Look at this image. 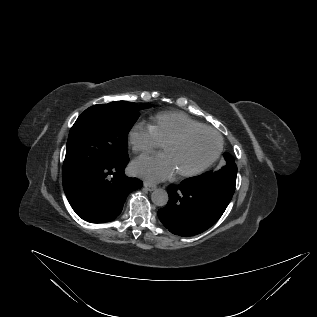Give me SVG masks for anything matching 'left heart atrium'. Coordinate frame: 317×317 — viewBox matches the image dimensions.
Segmentation results:
<instances>
[{
    "label": "left heart atrium",
    "mask_w": 317,
    "mask_h": 317,
    "mask_svg": "<svg viewBox=\"0 0 317 317\" xmlns=\"http://www.w3.org/2000/svg\"><path fill=\"white\" fill-rule=\"evenodd\" d=\"M132 170L136 175L153 181L167 179L175 173L169 158L164 153L143 156L135 160Z\"/></svg>",
    "instance_id": "39dd6f15"
}]
</instances>
